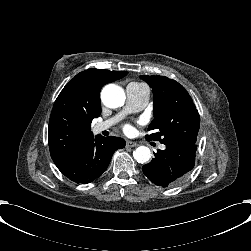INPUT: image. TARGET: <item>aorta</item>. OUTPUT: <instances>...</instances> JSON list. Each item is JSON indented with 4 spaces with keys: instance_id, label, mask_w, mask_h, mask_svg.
Returning a JSON list of instances; mask_svg holds the SVG:
<instances>
[{
    "instance_id": "obj_1",
    "label": "aorta",
    "mask_w": 251,
    "mask_h": 251,
    "mask_svg": "<svg viewBox=\"0 0 251 251\" xmlns=\"http://www.w3.org/2000/svg\"><path fill=\"white\" fill-rule=\"evenodd\" d=\"M101 100L106 106L115 108L124 104L125 93L121 87L108 84L101 91ZM133 156L138 163L145 164L151 158L150 149L146 146H139L133 151Z\"/></svg>"
}]
</instances>
